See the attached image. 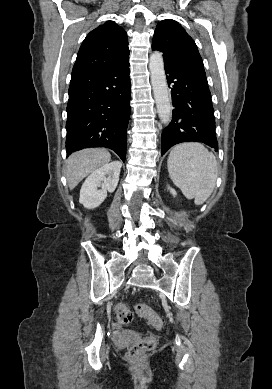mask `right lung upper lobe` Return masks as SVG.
Here are the masks:
<instances>
[{
    "mask_svg": "<svg viewBox=\"0 0 272 389\" xmlns=\"http://www.w3.org/2000/svg\"><path fill=\"white\" fill-rule=\"evenodd\" d=\"M129 56L127 34L113 21L92 30L83 41L72 70V76L90 74Z\"/></svg>",
    "mask_w": 272,
    "mask_h": 389,
    "instance_id": "cb5924a9",
    "label": "right lung upper lobe"
}]
</instances>
